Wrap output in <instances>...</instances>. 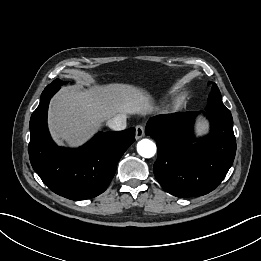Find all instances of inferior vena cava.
<instances>
[{"mask_svg":"<svg viewBox=\"0 0 261 261\" xmlns=\"http://www.w3.org/2000/svg\"><path fill=\"white\" fill-rule=\"evenodd\" d=\"M107 125L114 131H121L126 128V115L119 114L107 121Z\"/></svg>","mask_w":261,"mask_h":261,"instance_id":"602c4592","label":"inferior vena cava"}]
</instances>
